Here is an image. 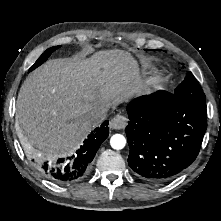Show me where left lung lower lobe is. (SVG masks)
I'll list each match as a JSON object with an SVG mask.
<instances>
[{
    "label": "left lung lower lobe",
    "instance_id": "1",
    "mask_svg": "<svg viewBox=\"0 0 221 221\" xmlns=\"http://www.w3.org/2000/svg\"><path fill=\"white\" fill-rule=\"evenodd\" d=\"M127 113L128 163L138 177L166 182L196 159L207 128L205 101L160 90L132 100Z\"/></svg>",
    "mask_w": 221,
    "mask_h": 221
}]
</instances>
